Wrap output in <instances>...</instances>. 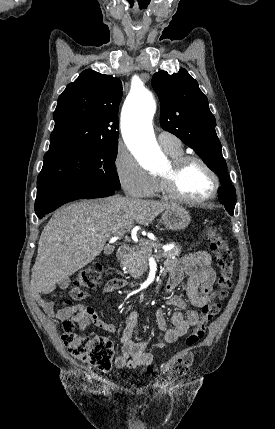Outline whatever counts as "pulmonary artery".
<instances>
[{
  "instance_id": "e3ab8cb5",
  "label": "pulmonary artery",
  "mask_w": 275,
  "mask_h": 429,
  "mask_svg": "<svg viewBox=\"0 0 275 429\" xmlns=\"http://www.w3.org/2000/svg\"><path fill=\"white\" fill-rule=\"evenodd\" d=\"M158 141L164 150H176L181 148L180 140L175 135L165 131L158 134Z\"/></svg>"
}]
</instances>
